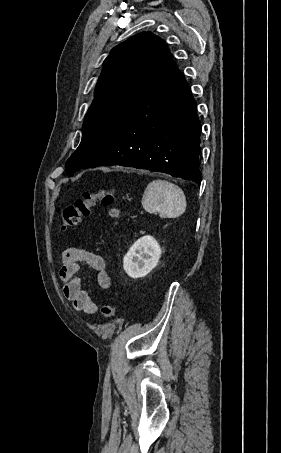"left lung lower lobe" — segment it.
<instances>
[{"label": "left lung lower lobe", "instance_id": "left-lung-lower-lobe-1", "mask_svg": "<svg viewBox=\"0 0 281 453\" xmlns=\"http://www.w3.org/2000/svg\"><path fill=\"white\" fill-rule=\"evenodd\" d=\"M200 133L195 100L170 54L131 115L83 168L129 166L200 184Z\"/></svg>", "mask_w": 281, "mask_h": 453}]
</instances>
